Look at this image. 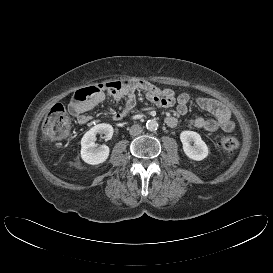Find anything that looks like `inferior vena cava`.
<instances>
[{"mask_svg":"<svg viewBox=\"0 0 273 273\" xmlns=\"http://www.w3.org/2000/svg\"><path fill=\"white\" fill-rule=\"evenodd\" d=\"M142 131H143L142 127L138 124L132 125L129 130L131 136H137V135L141 134Z\"/></svg>","mask_w":273,"mask_h":273,"instance_id":"obj_1","label":"inferior vena cava"}]
</instances>
